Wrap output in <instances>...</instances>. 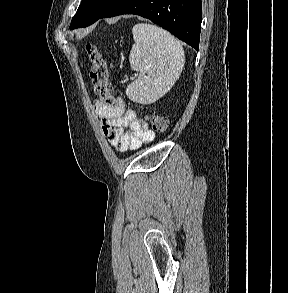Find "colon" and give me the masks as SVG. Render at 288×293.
I'll list each match as a JSON object with an SVG mask.
<instances>
[{
  "mask_svg": "<svg viewBox=\"0 0 288 293\" xmlns=\"http://www.w3.org/2000/svg\"><path fill=\"white\" fill-rule=\"evenodd\" d=\"M86 54L91 64L90 78L95 93L104 104L110 105L114 97L110 92L111 86L109 82L108 65L96 46L87 44ZM151 125L155 132L164 133L168 129L169 121L166 117L156 114L151 119Z\"/></svg>",
  "mask_w": 288,
  "mask_h": 293,
  "instance_id": "obj_1",
  "label": "colon"
}]
</instances>
